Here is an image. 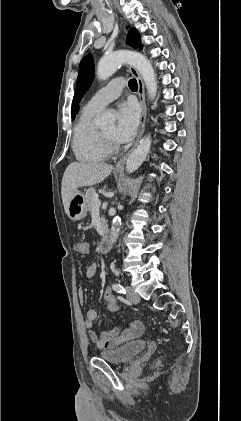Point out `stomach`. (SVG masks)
Here are the masks:
<instances>
[{"instance_id": "stomach-1", "label": "stomach", "mask_w": 241, "mask_h": 421, "mask_svg": "<svg viewBox=\"0 0 241 421\" xmlns=\"http://www.w3.org/2000/svg\"><path fill=\"white\" fill-rule=\"evenodd\" d=\"M87 211L84 193L77 190L69 202L68 217L73 221L82 220L87 215Z\"/></svg>"}]
</instances>
